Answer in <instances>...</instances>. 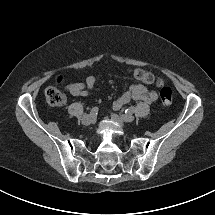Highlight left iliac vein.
I'll return each mask as SVG.
<instances>
[{
	"instance_id": "4c4485c4",
	"label": "left iliac vein",
	"mask_w": 215,
	"mask_h": 215,
	"mask_svg": "<svg viewBox=\"0 0 215 215\" xmlns=\"http://www.w3.org/2000/svg\"><path fill=\"white\" fill-rule=\"evenodd\" d=\"M111 117L117 123L133 122L135 120V117L132 114H123V115L112 114Z\"/></svg>"
}]
</instances>
